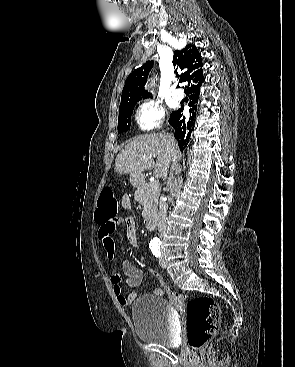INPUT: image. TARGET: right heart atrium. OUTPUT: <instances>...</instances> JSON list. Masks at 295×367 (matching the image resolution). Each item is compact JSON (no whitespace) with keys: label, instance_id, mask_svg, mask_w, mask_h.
Instances as JSON below:
<instances>
[{"label":"right heart atrium","instance_id":"1","mask_svg":"<svg viewBox=\"0 0 295 367\" xmlns=\"http://www.w3.org/2000/svg\"><path fill=\"white\" fill-rule=\"evenodd\" d=\"M165 118L163 107L154 102L141 104L135 114L137 125L145 131L159 129Z\"/></svg>","mask_w":295,"mask_h":367}]
</instances>
